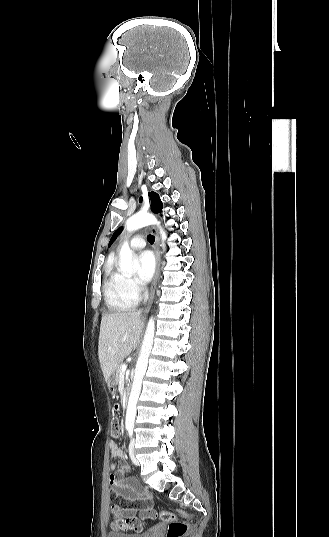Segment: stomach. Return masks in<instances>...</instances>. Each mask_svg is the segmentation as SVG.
I'll use <instances>...</instances> for the list:
<instances>
[{
    "mask_svg": "<svg viewBox=\"0 0 329 537\" xmlns=\"http://www.w3.org/2000/svg\"><path fill=\"white\" fill-rule=\"evenodd\" d=\"M115 383H116V381H115V373H113V374L109 377L108 382H107L109 389L114 388Z\"/></svg>",
    "mask_w": 329,
    "mask_h": 537,
    "instance_id": "obj_1",
    "label": "stomach"
}]
</instances>
